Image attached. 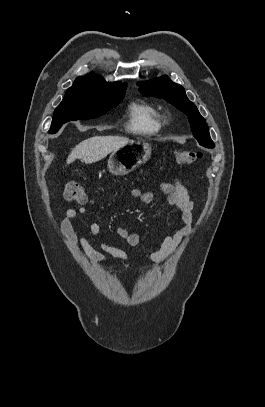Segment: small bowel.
I'll return each mask as SVG.
<instances>
[{
    "instance_id": "1",
    "label": "small bowel",
    "mask_w": 265,
    "mask_h": 407,
    "mask_svg": "<svg viewBox=\"0 0 265 407\" xmlns=\"http://www.w3.org/2000/svg\"><path fill=\"white\" fill-rule=\"evenodd\" d=\"M159 189L166 196L168 205L180 212L181 226L173 228L169 235L163 239L160 248L147 255L148 259L155 263L164 262L182 239L191 234L193 227V203L189 198L186 187L180 181L161 182ZM131 195L144 204L150 203L154 197L151 191H141L138 188L132 189ZM86 212L87 210L84 207L78 210L68 209L65 218L61 222L62 234L74 250L78 253H84L94 263L105 261L107 256L126 259L127 254L124 251L106 243L100 242L98 244L99 249H96L85 236L76 230L74 220L78 215H85ZM89 229L93 236H98L101 232V226L98 222H92ZM116 232L122 240L131 246H138L142 242V237L127 227L120 226L116 229Z\"/></svg>"
}]
</instances>
